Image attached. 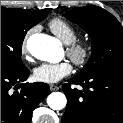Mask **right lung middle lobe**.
<instances>
[{
	"label": "right lung middle lobe",
	"instance_id": "obj_1",
	"mask_svg": "<svg viewBox=\"0 0 123 123\" xmlns=\"http://www.w3.org/2000/svg\"><path fill=\"white\" fill-rule=\"evenodd\" d=\"M51 9L27 11L1 7V71L25 68L21 61L22 43L27 31L44 20Z\"/></svg>",
	"mask_w": 123,
	"mask_h": 123
}]
</instances>
